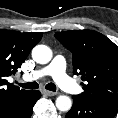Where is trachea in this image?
<instances>
[{
  "label": "trachea",
  "mask_w": 118,
  "mask_h": 118,
  "mask_svg": "<svg viewBox=\"0 0 118 118\" xmlns=\"http://www.w3.org/2000/svg\"><path fill=\"white\" fill-rule=\"evenodd\" d=\"M19 86L25 89H38L39 84L37 82H28V83H18L16 82ZM45 88L50 91H56V85L53 83H48Z\"/></svg>",
  "instance_id": "3493384b"
}]
</instances>
